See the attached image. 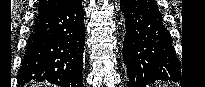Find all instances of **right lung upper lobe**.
<instances>
[{"label":"right lung upper lobe","instance_id":"cb5924a9","mask_svg":"<svg viewBox=\"0 0 205 87\" xmlns=\"http://www.w3.org/2000/svg\"><path fill=\"white\" fill-rule=\"evenodd\" d=\"M68 1L69 0H41L38 7V13H43L55 8H59L66 4Z\"/></svg>","mask_w":205,"mask_h":87}]
</instances>
